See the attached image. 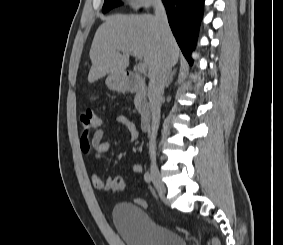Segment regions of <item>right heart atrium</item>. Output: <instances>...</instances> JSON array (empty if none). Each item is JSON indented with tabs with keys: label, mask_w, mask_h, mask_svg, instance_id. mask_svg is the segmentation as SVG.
<instances>
[{
	"label": "right heart atrium",
	"mask_w": 283,
	"mask_h": 245,
	"mask_svg": "<svg viewBox=\"0 0 283 245\" xmlns=\"http://www.w3.org/2000/svg\"><path fill=\"white\" fill-rule=\"evenodd\" d=\"M128 4L134 9H142L160 2V0H127Z\"/></svg>",
	"instance_id": "d8ad5b80"
}]
</instances>
